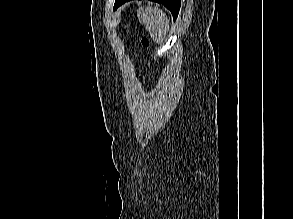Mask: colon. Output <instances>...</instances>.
<instances>
[{
	"label": "colon",
	"mask_w": 293,
	"mask_h": 219,
	"mask_svg": "<svg viewBox=\"0 0 293 219\" xmlns=\"http://www.w3.org/2000/svg\"><path fill=\"white\" fill-rule=\"evenodd\" d=\"M141 44L144 46V47H148L150 42L149 40L146 38V37H142L141 38Z\"/></svg>",
	"instance_id": "1"
}]
</instances>
